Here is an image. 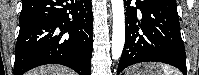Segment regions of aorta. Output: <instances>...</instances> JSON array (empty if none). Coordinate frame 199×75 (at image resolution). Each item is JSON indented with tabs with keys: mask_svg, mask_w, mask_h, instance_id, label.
Masks as SVG:
<instances>
[{
	"mask_svg": "<svg viewBox=\"0 0 199 75\" xmlns=\"http://www.w3.org/2000/svg\"><path fill=\"white\" fill-rule=\"evenodd\" d=\"M113 12L112 57L118 60L125 43V14L123 0H111Z\"/></svg>",
	"mask_w": 199,
	"mask_h": 75,
	"instance_id": "762f6f07",
	"label": "aorta"
}]
</instances>
